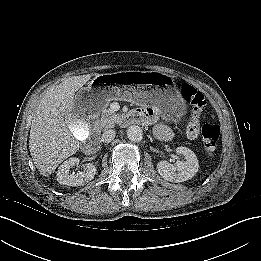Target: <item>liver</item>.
Listing matches in <instances>:
<instances>
[{"label": "liver", "instance_id": "liver-1", "mask_svg": "<svg viewBox=\"0 0 261 261\" xmlns=\"http://www.w3.org/2000/svg\"><path fill=\"white\" fill-rule=\"evenodd\" d=\"M93 75L100 74L69 77L50 87L39 101L32 119L29 150L41 175H51L61 162L78 150L80 143L66 117L75 109V92Z\"/></svg>", "mask_w": 261, "mask_h": 261}]
</instances>
